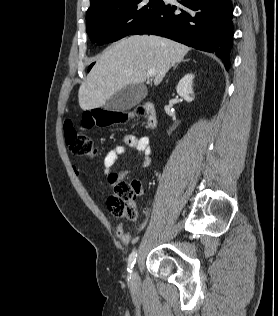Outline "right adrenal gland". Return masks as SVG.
Wrapping results in <instances>:
<instances>
[{
	"mask_svg": "<svg viewBox=\"0 0 278 316\" xmlns=\"http://www.w3.org/2000/svg\"><path fill=\"white\" fill-rule=\"evenodd\" d=\"M189 60H190V59H185V60H182V62H188ZM178 64H179V63H177V64L174 66V68H173L174 70L176 69V67L178 66Z\"/></svg>",
	"mask_w": 278,
	"mask_h": 316,
	"instance_id": "1",
	"label": "right adrenal gland"
}]
</instances>
